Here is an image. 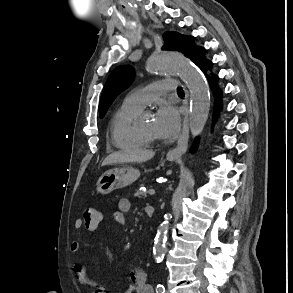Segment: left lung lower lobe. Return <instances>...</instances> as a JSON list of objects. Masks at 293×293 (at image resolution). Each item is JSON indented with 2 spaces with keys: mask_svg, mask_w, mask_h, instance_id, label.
I'll list each match as a JSON object with an SVG mask.
<instances>
[{
  "mask_svg": "<svg viewBox=\"0 0 293 293\" xmlns=\"http://www.w3.org/2000/svg\"><path fill=\"white\" fill-rule=\"evenodd\" d=\"M204 52L205 49L203 47H201L199 49V51L197 52L196 56L194 57V59H192V61L202 70L205 71L207 68L211 67V63L209 61H207L204 57ZM217 76L212 75L211 77H208V81L210 83V86L216 96V103L219 102L220 98H221V90L217 87ZM215 117V115H214ZM198 146V140H195V143L191 149V152L194 153L197 149Z\"/></svg>",
  "mask_w": 293,
  "mask_h": 293,
  "instance_id": "left-lung-lower-lobe-1",
  "label": "left lung lower lobe"
}]
</instances>
